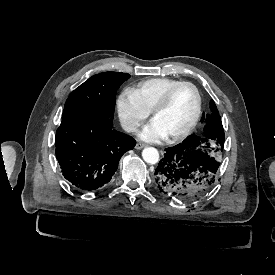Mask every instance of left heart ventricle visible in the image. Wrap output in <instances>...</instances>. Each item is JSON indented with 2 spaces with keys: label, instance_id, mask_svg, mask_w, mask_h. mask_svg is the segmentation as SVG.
<instances>
[{
  "label": "left heart ventricle",
  "instance_id": "1",
  "mask_svg": "<svg viewBox=\"0 0 275 275\" xmlns=\"http://www.w3.org/2000/svg\"><path fill=\"white\" fill-rule=\"evenodd\" d=\"M197 105L194 89L190 85L179 86L167 106L156 114L154 122L168 136L185 128L192 120Z\"/></svg>",
  "mask_w": 275,
  "mask_h": 275
}]
</instances>
